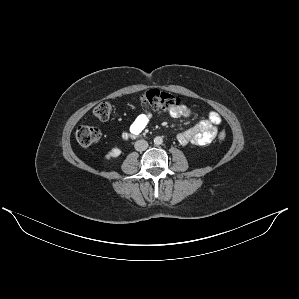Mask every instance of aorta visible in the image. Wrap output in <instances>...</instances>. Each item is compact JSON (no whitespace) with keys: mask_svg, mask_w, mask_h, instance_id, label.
Masks as SVG:
<instances>
[{"mask_svg":"<svg viewBox=\"0 0 299 299\" xmlns=\"http://www.w3.org/2000/svg\"><path fill=\"white\" fill-rule=\"evenodd\" d=\"M163 143V139H162V137H160V136H156L155 138H154V144L155 145H161Z\"/></svg>","mask_w":299,"mask_h":299,"instance_id":"aorta-1","label":"aorta"}]
</instances>
